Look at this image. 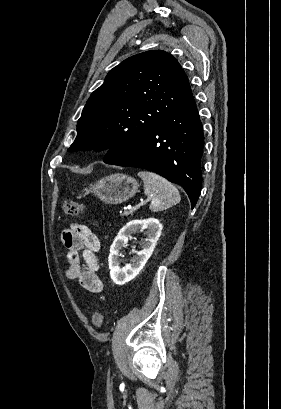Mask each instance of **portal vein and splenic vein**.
I'll use <instances>...</instances> for the list:
<instances>
[{"mask_svg":"<svg viewBox=\"0 0 281 409\" xmlns=\"http://www.w3.org/2000/svg\"><path fill=\"white\" fill-rule=\"evenodd\" d=\"M140 200H145V198L141 197ZM125 216L126 217H131L132 216V213L130 212V210L128 208L125 210Z\"/></svg>","mask_w":281,"mask_h":409,"instance_id":"1","label":"portal vein and splenic vein"}]
</instances>
